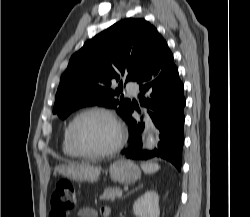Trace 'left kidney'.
Wrapping results in <instances>:
<instances>
[{
  "label": "left kidney",
  "mask_w": 250,
  "mask_h": 217,
  "mask_svg": "<svg viewBox=\"0 0 250 217\" xmlns=\"http://www.w3.org/2000/svg\"><path fill=\"white\" fill-rule=\"evenodd\" d=\"M137 217H159V196L155 191H147L133 205Z\"/></svg>",
  "instance_id": "1"
}]
</instances>
